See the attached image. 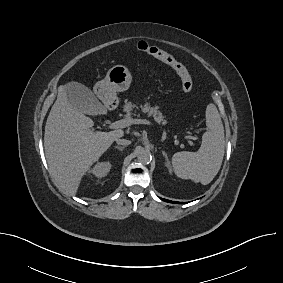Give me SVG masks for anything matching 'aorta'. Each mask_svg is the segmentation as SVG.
Returning <instances> with one entry per match:
<instances>
[{"instance_id": "1", "label": "aorta", "mask_w": 283, "mask_h": 283, "mask_svg": "<svg viewBox=\"0 0 283 283\" xmlns=\"http://www.w3.org/2000/svg\"><path fill=\"white\" fill-rule=\"evenodd\" d=\"M152 159L151 153L148 150H142L138 153V161L142 164H148Z\"/></svg>"}]
</instances>
